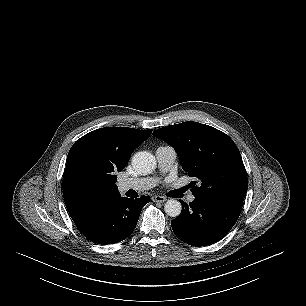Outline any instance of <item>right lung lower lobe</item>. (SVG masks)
Here are the masks:
<instances>
[{
	"instance_id": "right-lung-lower-lobe-1",
	"label": "right lung lower lobe",
	"mask_w": 306,
	"mask_h": 306,
	"mask_svg": "<svg viewBox=\"0 0 306 306\" xmlns=\"http://www.w3.org/2000/svg\"><path fill=\"white\" fill-rule=\"evenodd\" d=\"M149 201L148 196L136 200L120 197L114 203L74 223L78 230L94 243H118L134 231L140 212Z\"/></svg>"
}]
</instances>
